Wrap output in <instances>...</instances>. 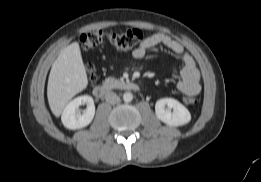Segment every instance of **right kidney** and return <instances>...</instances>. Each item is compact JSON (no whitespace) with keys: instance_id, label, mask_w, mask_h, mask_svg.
Wrapping results in <instances>:
<instances>
[{"instance_id":"obj_1","label":"right kidney","mask_w":261,"mask_h":182,"mask_svg":"<svg viewBox=\"0 0 261 182\" xmlns=\"http://www.w3.org/2000/svg\"><path fill=\"white\" fill-rule=\"evenodd\" d=\"M86 104L87 109L83 114L78 112L80 105ZM95 115L93 98L88 95L79 96L70 101L63 110L61 120L63 125L71 130L81 129L88 126Z\"/></svg>"}]
</instances>
